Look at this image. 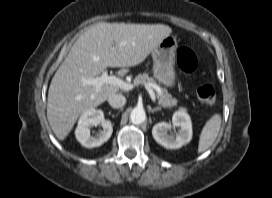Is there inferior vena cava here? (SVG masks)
<instances>
[{
	"instance_id": "1",
	"label": "inferior vena cava",
	"mask_w": 272,
	"mask_h": 198,
	"mask_svg": "<svg viewBox=\"0 0 272 198\" xmlns=\"http://www.w3.org/2000/svg\"><path fill=\"white\" fill-rule=\"evenodd\" d=\"M108 102L113 108H120L125 105L126 98L120 93H115L108 97Z\"/></svg>"
}]
</instances>
